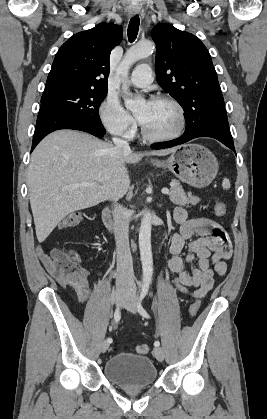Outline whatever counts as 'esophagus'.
Returning <instances> with one entry per match:
<instances>
[{"instance_id": "34e87169", "label": "esophagus", "mask_w": 267, "mask_h": 419, "mask_svg": "<svg viewBox=\"0 0 267 419\" xmlns=\"http://www.w3.org/2000/svg\"><path fill=\"white\" fill-rule=\"evenodd\" d=\"M140 12V8L137 6H132L129 8V14L131 16H135L136 14H138Z\"/></svg>"}]
</instances>
